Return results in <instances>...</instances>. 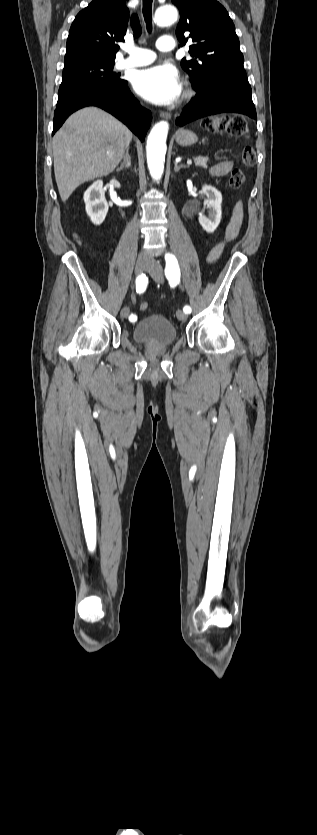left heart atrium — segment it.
I'll return each mask as SVG.
<instances>
[{"instance_id": "39dd6f15", "label": "left heart atrium", "mask_w": 317, "mask_h": 835, "mask_svg": "<svg viewBox=\"0 0 317 835\" xmlns=\"http://www.w3.org/2000/svg\"><path fill=\"white\" fill-rule=\"evenodd\" d=\"M136 92L146 100L167 105L175 102L182 91L177 70L169 64L140 70L134 77Z\"/></svg>"}]
</instances>
